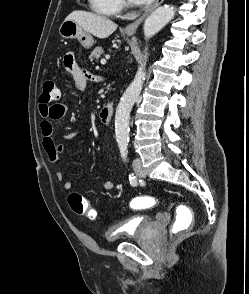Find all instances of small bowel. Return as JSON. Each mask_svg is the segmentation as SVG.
<instances>
[{
	"mask_svg": "<svg viewBox=\"0 0 249 294\" xmlns=\"http://www.w3.org/2000/svg\"><path fill=\"white\" fill-rule=\"evenodd\" d=\"M64 70L70 75L76 89L83 90L87 81L96 79L84 68L79 66L74 59L72 53H68L64 59ZM68 107L66 104L59 102L54 104L41 103L39 105L40 114V130L43 136V147L47 158L50 162L56 163L60 159V154L64 151V146L57 144L55 140V124L62 120L67 114ZM80 134L79 131L71 132L62 137L66 140L76 138ZM55 178L60 183L62 190H70L72 187V180L65 179L64 173L61 170L55 171ZM106 191H112L115 188L113 181H106L103 184Z\"/></svg>",
	"mask_w": 249,
	"mask_h": 294,
	"instance_id": "obj_1",
	"label": "small bowel"
}]
</instances>
